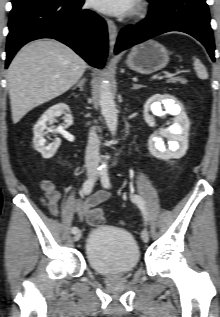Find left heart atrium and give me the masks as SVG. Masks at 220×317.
<instances>
[{"instance_id":"left-heart-atrium-1","label":"left heart atrium","mask_w":220,"mask_h":317,"mask_svg":"<svg viewBox=\"0 0 220 317\" xmlns=\"http://www.w3.org/2000/svg\"><path fill=\"white\" fill-rule=\"evenodd\" d=\"M93 8L111 15H124L129 13L135 0H90Z\"/></svg>"}]
</instances>
